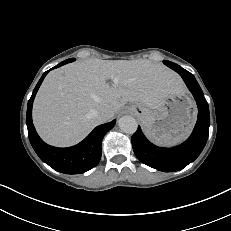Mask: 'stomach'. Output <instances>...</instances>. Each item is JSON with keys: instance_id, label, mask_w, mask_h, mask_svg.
I'll return each instance as SVG.
<instances>
[{"instance_id": "1", "label": "stomach", "mask_w": 231, "mask_h": 231, "mask_svg": "<svg viewBox=\"0 0 231 231\" xmlns=\"http://www.w3.org/2000/svg\"><path fill=\"white\" fill-rule=\"evenodd\" d=\"M141 121L148 137L159 145H173L183 140L192 130L197 110L185 92H172L152 109L143 103L128 107Z\"/></svg>"}]
</instances>
